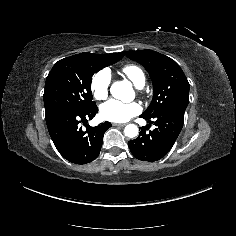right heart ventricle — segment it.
Wrapping results in <instances>:
<instances>
[{
	"instance_id": "e07e8e85",
	"label": "right heart ventricle",
	"mask_w": 236,
	"mask_h": 236,
	"mask_svg": "<svg viewBox=\"0 0 236 236\" xmlns=\"http://www.w3.org/2000/svg\"><path fill=\"white\" fill-rule=\"evenodd\" d=\"M122 72L137 87H141L144 84L145 75L139 66L135 64H127L122 68Z\"/></svg>"
}]
</instances>
